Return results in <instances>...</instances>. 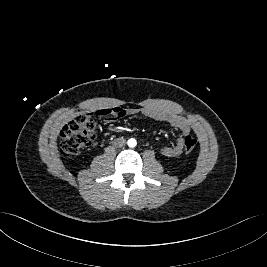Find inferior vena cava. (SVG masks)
I'll return each instance as SVG.
<instances>
[{"mask_svg":"<svg viewBox=\"0 0 267 267\" xmlns=\"http://www.w3.org/2000/svg\"><path fill=\"white\" fill-rule=\"evenodd\" d=\"M126 140L124 138H117L114 140L113 145L114 147L121 148L125 146Z\"/></svg>","mask_w":267,"mask_h":267,"instance_id":"obj_1","label":"inferior vena cava"}]
</instances>
